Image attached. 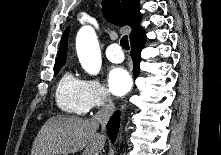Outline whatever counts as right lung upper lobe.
<instances>
[{
    "mask_svg": "<svg viewBox=\"0 0 221 155\" xmlns=\"http://www.w3.org/2000/svg\"><path fill=\"white\" fill-rule=\"evenodd\" d=\"M103 14L112 23L119 26H130V40H132L143 29L140 27L142 14L139 11V0H103ZM67 29L61 39L60 50L55 62V66L65 63L67 52Z\"/></svg>",
    "mask_w": 221,
    "mask_h": 155,
    "instance_id": "1",
    "label": "right lung upper lobe"
}]
</instances>
